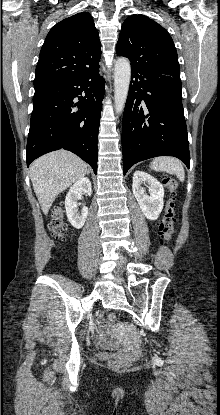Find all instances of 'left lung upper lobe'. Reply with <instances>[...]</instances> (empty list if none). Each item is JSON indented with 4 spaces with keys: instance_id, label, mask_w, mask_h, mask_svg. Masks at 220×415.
Instances as JSON below:
<instances>
[{
    "instance_id": "left-lung-upper-lobe-1",
    "label": "left lung upper lobe",
    "mask_w": 220,
    "mask_h": 415,
    "mask_svg": "<svg viewBox=\"0 0 220 415\" xmlns=\"http://www.w3.org/2000/svg\"><path fill=\"white\" fill-rule=\"evenodd\" d=\"M116 52L130 60L131 68L180 77L177 51L171 36L144 15L134 14L124 21Z\"/></svg>"
}]
</instances>
